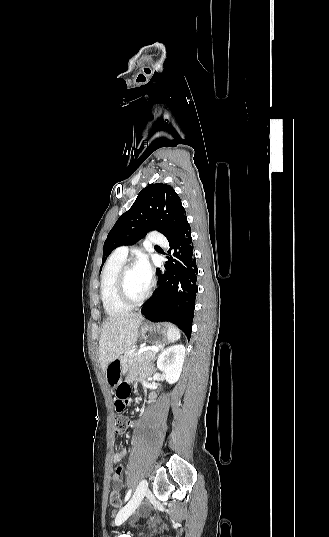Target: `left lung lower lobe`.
<instances>
[{"label": "left lung lower lobe", "instance_id": "obj_1", "mask_svg": "<svg viewBox=\"0 0 329 537\" xmlns=\"http://www.w3.org/2000/svg\"><path fill=\"white\" fill-rule=\"evenodd\" d=\"M171 256L166 262V272L159 276V289L144 304L145 315L154 321H169L182 329L190 339L197 287V265L193 252L191 227L183 225L169 240ZM172 251V252H171Z\"/></svg>", "mask_w": 329, "mask_h": 537}]
</instances>
